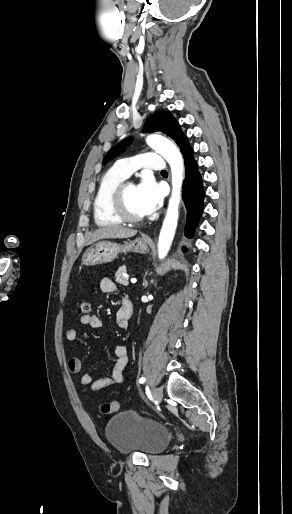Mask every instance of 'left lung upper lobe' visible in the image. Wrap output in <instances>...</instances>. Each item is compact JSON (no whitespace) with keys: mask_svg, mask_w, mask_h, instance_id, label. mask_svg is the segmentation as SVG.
Masks as SVG:
<instances>
[{"mask_svg":"<svg viewBox=\"0 0 292 514\" xmlns=\"http://www.w3.org/2000/svg\"><path fill=\"white\" fill-rule=\"evenodd\" d=\"M144 130L146 132L159 131L165 133L177 143L181 149V152H183L184 149L189 145L188 139L182 132L179 123L170 112L160 111L149 116L145 123ZM131 142L132 138H127L113 147L105 157L103 164H106L114 157L124 152L126 149L125 145H129Z\"/></svg>","mask_w":292,"mask_h":514,"instance_id":"1","label":"left lung upper lobe"}]
</instances>
